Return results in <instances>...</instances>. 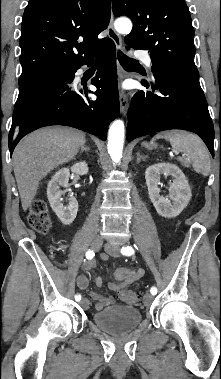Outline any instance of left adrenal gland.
Instances as JSON below:
<instances>
[{"instance_id":"1","label":"left adrenal gland","mask_w":221,"mask_h":379,"mask_svg":"<svg viewBox=\"0 0 221 379\" xmlns=\"http://www.w3.org/2000/svg\"><path fill=\"white\" fill-rule=\"evenodd\" d=\"M142 159H144V157L138 155V156H137V163H139Z\"/></svg>"}]
</instances>
